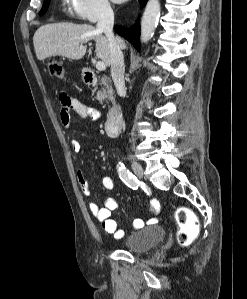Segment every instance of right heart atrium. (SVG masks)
<instances>
[{
	"label": "right heart atrium",
	"mask_w": 247,
	"mask_h": 299,
	"mask_svg": "<svg viewBox=\"0 0 247 299\" xmlns=\"http://www.w3.org/2000/svg\"><path fill=\"white\" fill-rule=\"evenodd\" d=\"M71 14L78 20L97 22L112 16L110 0H70Z\"/></svg>",
	"instance_id": "obj_1"
}]
</instances>
